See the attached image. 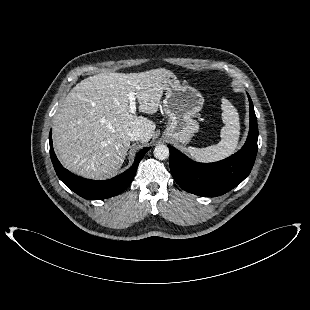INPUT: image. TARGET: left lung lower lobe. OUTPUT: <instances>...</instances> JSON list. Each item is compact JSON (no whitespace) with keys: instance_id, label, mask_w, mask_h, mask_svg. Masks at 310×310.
<instances>
[{"instance_id":"left-lung-lower-lobe-1","label":"left lung lower lobe","mask_w":310,"mask_h":310,"mask_svg":"<svg viewBox=\"0 0 310 310\" xmlns=\"http://www.w3.org/2000/svg\"><path fill=\"white\" fill-rule=\"evenodd\" d=\"M250 130L244 146L232 156L214 163H198L168 145L170 170L177 184L189 193L204 197L225 194L250 173L257 154V118L250 96Z\"/></svg>"}]
</instances>
